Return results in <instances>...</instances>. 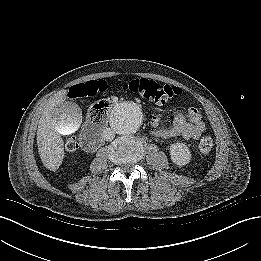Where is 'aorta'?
Returning a JSON list of instances; mask_svg holds the SVG:
<instances>
[{
	"instance_id": "762f6f07",
	"label": "aorta",
	"mask_w": 261,
	"mask_h": 261,
	"mask_svg": "<svg viewBox=\"0 0 261 261\" xmlns=\"http://www.w3.org/2000/svg\"><path fill=\"white\" fill-rule=\"evenodd\" d=\"M143 112L135 102L117 104L110 114L112 130L119 135H129L137 132L143 123Z\"/></svg>"
}]
</instances>
